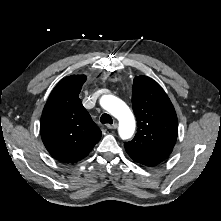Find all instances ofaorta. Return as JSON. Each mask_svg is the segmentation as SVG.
Listing matches in <instances>:
<instances>
[{"mask_svg": "<svg viewBox=\"0 0 221 221\" xmlns=\"http://www.w3.org/2000/svg\"><path fill=\"white\" fill-rule=\"evenodd\" d=\"M100 104L119 121L120 137L122 139L130 138L135 131V118L126 103L113 95H104Z\"/></svg>", "mask_w": 221, "mask_h": 221, "instance_id": "obj_1", "label": "aorta"}]
</instances>
